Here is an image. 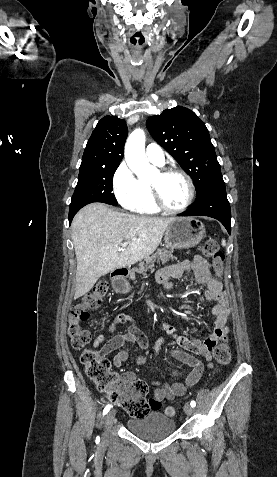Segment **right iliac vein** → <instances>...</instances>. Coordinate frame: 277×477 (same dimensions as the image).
I'll use <instances>...</instances> for the list:
<instances>
[{"label": "right iliac vein", "instance_id": "obj_1", "mask_svg": "<svg viewBox=\"0 0 277 477\" xmlns=\"http://www.w3.org/2000/svg\"><path fill=\"white\" fill-rule=\"evenodd\" d=\"M115 414H116V411L115 410H111L107 416H106V419H105V426H106V432L104 434V440L107 439V436H108V431L109 429L111 428L112 424H113V421L115 419Z\"/></svg>", "mask_w": 277, "mask_h": 477}]
</instances>
